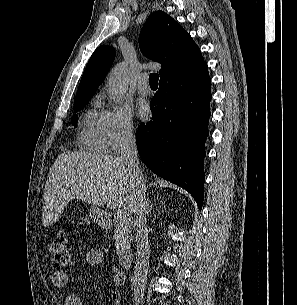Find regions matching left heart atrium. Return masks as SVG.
Instances as JSON below:
<instances>
[{"mask_svg":"<svg viewBox=\"0 0 297 305\" xmlns=\"http://www.w3.org/2000/svg\"><path fill=\"white\" fill-rule=\"evenodd\" d=\"M149 113V110H148V107L145 105V104H141L139 107H138V115L141 119H144L147 117Z\"/></svg>","mask_w":297,"mask_h":305,"instance_id":"obj_1","label":"left heart atrium"}]
</instances>
